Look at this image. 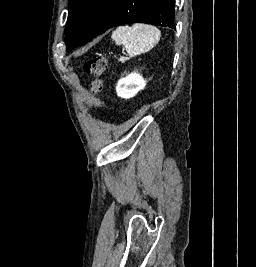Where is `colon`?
<instances>
[{
	"label": "colon",
	"mask_w": 256,
	"mask_h": 267,
	"mask_svg": "<svg viewBox=\"0 0 256 267\" xmlns=\"http://www.w3.org/2000/svg\"><path fill=\"white\" fill-rule=\"evenodd\" d=\"M108 67L104 57H90L84 63V71L92 77L90 91L93 96H98L103 91V75Z\"/></svg>",
	"instance_id": "obj_1"
}]
</instances>
